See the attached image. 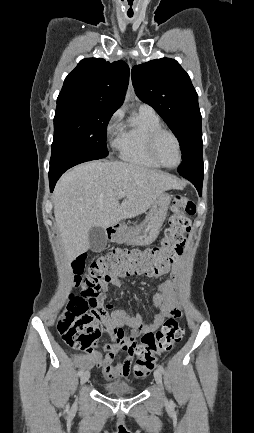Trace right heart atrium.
Masks as SVG:
<instances>
[{
    "instance_id": "d8ad5b80",
    "label": "right heart atrium",
    "mask_w": 254,
    "mask_h": 433,
    "mask_svg": "<svg viewBox=\"0 0 254 433\" xmlns=\"http://www.w3.org/2000/svg\"><path fill=\"white\" fill-rule=\"evenodd\" d=\"M120 119H121V113L120 111L114 112L111 117L109 118L107 127H106V135L108 137H111L118 133L119 127H120Z\"/></svg>"
}]
</instances>
